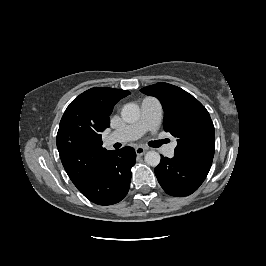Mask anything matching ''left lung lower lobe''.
<instances>
[{
    "instance_id": "1",
    "label": "left lung lower lobe",
    "mask_w": 266,
    "mask_h": 266,
    "mask_svg": "<svg viewBox=\"0 0 266 266\" xmlns=\"http://www.w3.org/2000/svg\"><path fill=\"white\" fill-rule=\"evenodd\" d=\"M212 160L161 156L155 174L164 191L177 197L188 196L205 180Z\"/></svg>"
}]
</instances>
